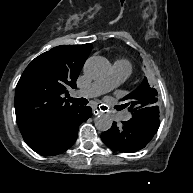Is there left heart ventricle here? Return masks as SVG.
Segmentation results:
<instances>
[{"instance_id": "obj_1", "label": "left heart ventricle", "mask_w": 193, "mask_h": 193, "mask_svg": "<svg viewBox=\"0 0 193 193\" xmlns=\"http://www.w3.org/2000/svg\"><path fill=\"white\" fill-rule=\"evenodd\" d=\"M106 87L107 88L111 87V82H110L109 78L106 80Z\"/></svg>"}]
</instances>
